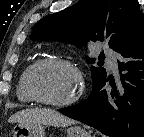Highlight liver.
<instances>
[{
    "mask_svg": "<svg viewBox=\"0 0 144 137\" xmlns=\"http://www.w3.org/2000/svg\"><path fill=\"white\" fill-rule=\"evenodd\" d=\"M10 123L41 124L65 127L75 123L74 120L61 113L47 108L24 109L14 113L8 120Z\"/></svg>",
    "mask_w": 144,
    "mask_h": 137,
    "instance_id": "obj_1",
    "label": "liver"
}]
</instances>
